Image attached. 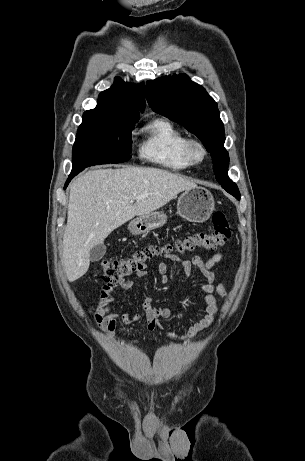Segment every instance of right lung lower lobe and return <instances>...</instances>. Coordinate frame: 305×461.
Masks as SVG:
<instances>
[{"instance_id":"right-lung-lower-lobe-1","label":"right lung lower lobe","mask_w":305,"mask_h":461,"mask_svg":"<svg viewBox=\"0 0 305 461\" xmlns=\"http://www.w3.org/2000/svg\"><path fill=\"white\" fill-rule=\"evenodd\" d=\"M80 171H82V170H81V169H73V170H72V172H71V174L69 175V178H68V180H67V182H66L65 188H66V186L68 185V183L70 182V180H71L76 174H78Z\"/></svg>"}]
</instances>
